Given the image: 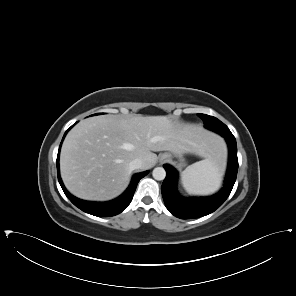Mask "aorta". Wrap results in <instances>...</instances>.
<instances>
[{
    "mask_svg": "<svg viewBox=\"0 0 296 296\" xmlns=\"http://www.w3.org/2000/svg\"><path fill=\"white\" fill-rule=\"evenodd\" d=\"M153 178L155 180H163L166 176V171L163 167H156L152 172Z\"/></svg>",
    "mask_w": 296,
    "mask_h": 296,
    "instance_id": "aorta-1",
    "label": "aorta"
}]
</instances>
